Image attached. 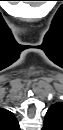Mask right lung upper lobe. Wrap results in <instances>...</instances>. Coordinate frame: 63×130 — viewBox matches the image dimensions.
I'll list each match as a JSON object with an SVG mask.
<instances>
[{
  "label": "right lung upper lobe",
  "mask_w": 63,
  "mask_h": 130,
  "mask_svg": "<svg viewBox=\"0 0 63 130\" xmlns=\"http://www.w3.org/2000/svg\"><path fill=\"white\" fill-rule=\"evenodd\" d=\"M0 127L3 130H19V124L14 114L8 110L0 109Z\"/></svg>",
  "instance_id": "obj_1"
}]
</instances>
